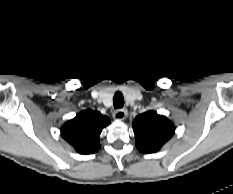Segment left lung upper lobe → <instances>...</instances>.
Returning a JSON list of instances; mask_svg holds the SVG:
<instances>
[{
    "mask_svg": "<svg viewBox=\"0 0 233 194\" xmlns=\"http://www.w3.org/2000/svg\"><path fill=\"white\" fill-rule=\"evenodd\" d=\"M136 147L141 153L158 151L174 134V126L155 111L138 115L133 123Z\"/></svg>",
    "mask_w": 233,
    "mask_h": 194,
    "instance_id": "obj_1",
    "label": "left lung upper lobe"
}]
</instances>
